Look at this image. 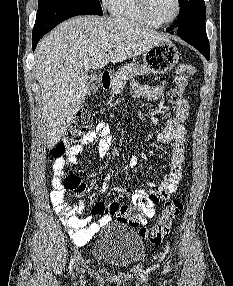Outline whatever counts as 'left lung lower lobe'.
Instances as JSON below:
<instances>
[{"instance_id": "obj_1", "label": "left lung lower lobe", "mask_w": 233, "mask_h": 286, "mask_svg": "<svg viewBox=\"0 0 233 286\" xmlns=\"http://www.w3.org/2000/svg\"><path fill=\"white\" fill-rule=\"evenodd\" d=\"M170 33L174 34V32ZM175 33L195 47L207 60L210 59L209 41L205 28V14L198 15L184 25L177 27Z\"/></svg>"}]
</instances>
